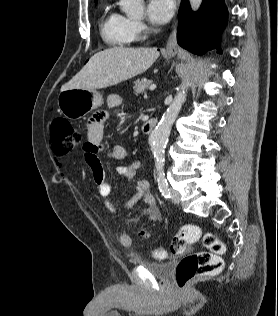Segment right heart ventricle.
Wrapping results in <instances>:
<instances>
[{
    "label": "right heart ventricle",
    "instance_id": "1",
    "mask_svg": "<svg viewBox=\"0 0 278 316\" xmlns=\"http://www.w3.org/2000/svg\"><path fill=\"white\" fill-rule=\"evenodd\" d=\"M100 33L110 46H125L133 40L128 32L127 18L105 4L100 17Z\"/></svg>",
    "mask_w": 278,
    "mask_h": 316
}]
</instances>
